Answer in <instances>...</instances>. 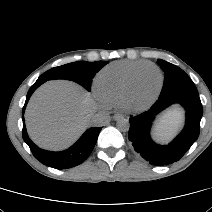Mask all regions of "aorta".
Masks as SVG:
<instances>
[{
  "mask_svg": "<svg viewBox=\"0 0 212 212\" xmlns=\"http://www.w3.org/2000/svg\"><path fill=\"white\" fill-rule=\"evenodd\" d=\"M116 125H117L118 130H120L122 132H127L130 128V123H129V120H127V119L118 120Z\"/></svg>",
  "mask_w": 212,
  "mask_h": 212,
  "instance_id": "762f6f07",
  "label": "aorta"
}]
</instances>
